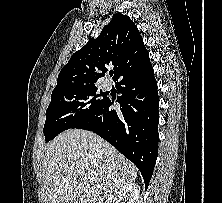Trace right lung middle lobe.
<instances>
[{"instance_id": "1", "label": "right lung middle lobe", "mask_w": 222, "mask_h": 203, "mask_svg": "<svg viewBox=\"0 0 222 203\" xmlns=\"http://www.w3.org/2000/svg\"><path fill=\"white\" fill-rule=\"evenodd\" d=\"M99 96H103V93L95 85L52 92L43 129L45 141L49 142L59 133L90 115L107 99V97L98 99Z\"/></svg>"}]
</instances>
